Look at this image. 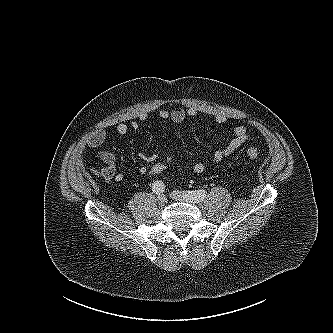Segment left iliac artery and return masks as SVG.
<instances>
[{
	"label": "left iliac artery",
	"mask_w": 333,
	"mask_h": 333,
	"mask_svg": "<svg viewBox=\"0 0 333 333\" xmlns=\"http://www.w3.org/2000/svg\"><path fill=\"white\" fill-rule=\"evenodd\" d=\"M188 196L194 203H198L200 201H203L206 197V190H195V191H187Z\"/></svg>",
	"instance_id": "1"
}]
</instances>
